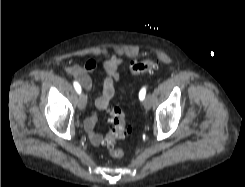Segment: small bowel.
<instances>
[{
  "mask_svg": "<svg viewBox=\"0 0 245 187\" xmlns=\"http://www.w3.org/2000/svg\"><path fill=\"white\" fill-rule=\"evenodd\" d=\"M123 64V59L113 55L106 60L89 59L82 64H70L64 67L65 72L75 78L86 91L91 89L92 83L90 74L99 66L103 68V88L100 96L96 99L95 105L100 110H105L115 95V83L120 80L119 68ZM97 116L92 113L85 120V128L88 131L90 141L95 146L104 144V138L95 131Z\"/></svg>",
  "mask_w": 245,
  "mask_h": 187,
  "instance_id": "c3829d8e",
  "label": "small bowel"
}]
</instances>
